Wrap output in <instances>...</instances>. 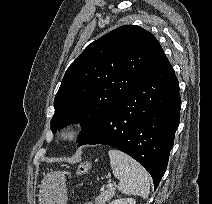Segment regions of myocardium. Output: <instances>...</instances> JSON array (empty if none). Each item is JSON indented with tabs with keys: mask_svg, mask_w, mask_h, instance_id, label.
Listing matches in <instances>:
<instances>
[{
	"mask_svg": "<svg viewBox=\"0 0 212 204\" xmlns=\"http://www.w3.org/2000/svg\"><path fill=\"white\" fill-rule=\"evenodd\" d=\"M77 137V131L73 127H65L58 133V138L63 143H71Z\"/></svg>",
	"mask_w": 212,
	"mask_h": 204,
	"instance_id": "1",
	"label": "myocardium"
}]
</instances>
